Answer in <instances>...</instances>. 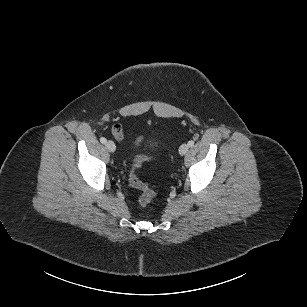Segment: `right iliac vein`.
Instances as JSON below:
<instances>
[{"mask_svg": "<svg viewBox=\"0 0 307 307\" xmlns=\"http://www.w3.org/2000/svg\"><path fill=\"white\" fill-rule=\"evenodd\" d=\"M105 146H106V149L109 151V152H114L115 150H116V146H115V144H114V142L113 141H107L106 143H105Z\"/></svg>", "mask_w": 307, "mask_h": 307, "instance_id": "1", "label": "right iliac vein"}]
</instances>
